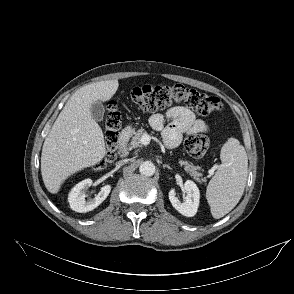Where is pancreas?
I'll return each instance as SVG.
<instances>
[{"label": "pancreas", "instance_id": "1", "mask_svg": "<svg viewBox=\"0 0 294 294\" xmlns=\"http://www.w3.org/2000/svg\"><path fill=\"white\" fill-rule=\"evenodd\" d=\"M147 134L146 131L141 128L137 131H132L129 135V137H132L130 143H129V149H134L137 147L141 146V137ZM179 164L181 166H184V169L186 172H188L190 174V176L196 180L199 183H202L205 181V179L201 178L202 177V173L198 172L197 170L199 169L197 166H195L193 163L188 162L186 160H179Z\"/></svg>", "mask_w": 294, "mask_h": 294}]
</instances>
